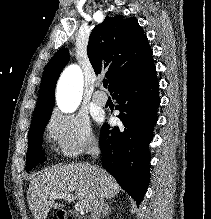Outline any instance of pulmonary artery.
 Here are the masks:
<instances>
[{
    "label": "pulmonary artery",
    "mask_w": 211,
    "mask_h": 219,
    "mask_svg": "<svg viewBox=\"0 0 211 219\" xmlns=\"http://www.w3.org/2000/svg\"><path fill=\"white\" fill-rule=\"evenodd\" d=\"M92 100L96 105L103 106L106 104L108 97L103 91L97 90L94 92Z\"/></svg>",
    "instance_id": "obj_1"
}]
</instances>
